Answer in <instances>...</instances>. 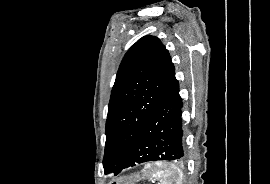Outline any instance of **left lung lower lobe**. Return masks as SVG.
Instances as JSON below:
<instances>
[{"label":"left lung lower lobe","instance_id":"0a47b994","mask_svg":"<svg viewBox=\"0 0 270 184\" xmlns=\"http://www.w3.org/2000/svg\"><path fill=\"white\" fill-rule=\"evenodd\" d=\"M182 107L179 82L175 78L138 135L122 167L114 174L138 163L184 160L186 154Z\"/></svg>","mask_w":270,"mask_h":184}]
</instances>
